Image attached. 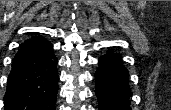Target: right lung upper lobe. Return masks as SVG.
Segmentation results:
<instances>
[{"mask_svg": "<svg viewBox=\"0 0 171 110\" xmlns=\"http://www.w3.org/2000/svg\"><path fill=\"white\" fill-rule=\"evenodd\" d=\"M34 38H36V36L35 37H32V39H34ZM32 39H30V40H32ZM22 44H24V43H22Z\"/></svg>", "mask_w": 171, "mask_h": 110, "instance_id": "obj_1", "label": "right lung upper lobe"}]
</instances>
